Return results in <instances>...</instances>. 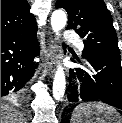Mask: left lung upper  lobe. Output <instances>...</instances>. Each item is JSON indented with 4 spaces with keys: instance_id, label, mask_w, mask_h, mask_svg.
<instances>
[{
    "instance_id": "obj_1",
    "label": "left lung upper lobe",
    "mask_w": 122,
    "mask_h": 123,
    "mask_svg": "<svg viewBox=\"0 0 122 123\" xmlns=\"http://www.w3.org/2000/svg\"><path fill=\"white\" fill-rule=\"evenodd\" d=\"M56 8L68 12L67 29L83 38L84 55L94 52L120 60L112 16L103 0H57Z\"/></svg>"
}]
</instances>
